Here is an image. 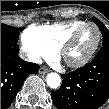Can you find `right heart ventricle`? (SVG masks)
Returning <instances> with one entry per match:
<instances>
[{"label": "right heart ventricle", "mask_w": 109, "mask_h": 109, "mask_svg": "<svg viewBox=\"0 0 109 109\" xmlns=\"http://www.w3.org/2000/svg\"><path fill=\"white\" fill-rule=\"evenodd\" d=\"M85 23L87 22L84 20L74 19L50 25H34L29 27L25 33L28 35L40 36L53 46L59 48L75 28Z\"/></svg>", "instance_id": "1"}]
</instances>
